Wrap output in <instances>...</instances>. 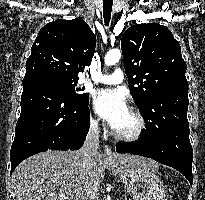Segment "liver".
<instances>
[{
  "label": "liver",
  "mask_w": 205,
  "mask_h": 200,
  "mask_svg": "<svg viewBox=\"0 0 205 200\" xmlns=\"http://www.w3.org/2000/svg\"><path fill=\"white\" fill-rule=\"evenodd\" d=\"M121 164L129 167L157 168L147 158L116 154ZM79 151H47L21 162L12 174L14 200H85L87 182L103 181L105 162L101 152L94 157V165L87 172Z\"/></svg>",
  "instance_id": "6515ba94"
}]
</instances>
